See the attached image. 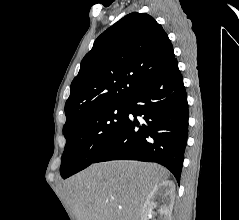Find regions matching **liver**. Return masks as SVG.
<instances>
[{"label": "liver", "mask_w": 239, "mask_h": 220, "mask_svg": "<svg viewBox=\"0 0 239 220\" xmlns=\"http://www.w3.org/2000/svg\"><path fill=\"white\" fill-rule=\"evenodd\" d=\"M168 177L157 164L108 161L68 179L64 192L77 220H139L148 194Z\"/></svg>", "instance_id": "6515ba94"}]
</instances>
